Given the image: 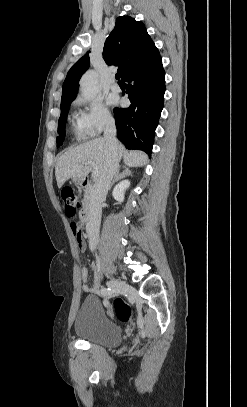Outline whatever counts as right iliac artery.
<instances>
[{
    "instance_id": "right-iliac-artery-1",
    "label": "right iliac artery",
    "mask_w": 247,
    "mask_h": 407,
    "mask_svg": "<svg viewBox=\"0 0 247 407\" xmlns=\"http://www.w3.org/2000/svg\"><path fill=\"white\" fill-rule=\"evenodd\" d=\"M113 293H114V289H112V288H110V287H108V288H101V290H100V294L102 295V296H108V297H111L112 295H113Z\"/></svg>"
}]
</instances>
